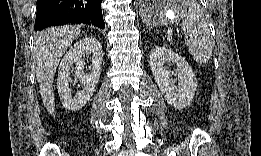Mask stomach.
Here are the masks:
<instances>
[{
    "mask_svg": "<svg viewBox=\"0 0 261 156\" xmlns=\"http://www.w3.org/2000/svg\"><path fill=\"white\" fill-rule=\"evenodd\" d=\"M167 12V6L160 2H145L140 8V15L149 26L165 25L168 22ZM173 12L177 16L181 15V10L174 9Z\"/></svg>",
    "mask_w": 261,
    "mask_h": 156,
    "instance_id": "stomach-1",
    "label": "stomach"
}]
</instances>
